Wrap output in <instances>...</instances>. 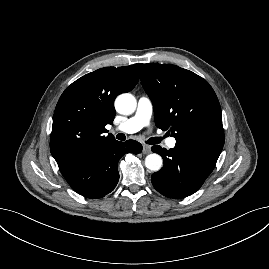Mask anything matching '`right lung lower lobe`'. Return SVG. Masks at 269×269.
<instances>
[{"label":"right lung lower lobe","mask_w":269,"mask_h":269,"mask_svg":"<svg viewBox=\"0 0 269 269\" xmlns=\"http://www.w3.org/2000/svg\"><path fill=\"white\" fill-rule=\"evenodd\" d=\"M141 151L142 145L137 141L114 140L59 166V169L74 191L84 197L97 199L116 187L119 159L127 152L138 154Z\"/></svg>","instance_id":"1"}]
</instances>
